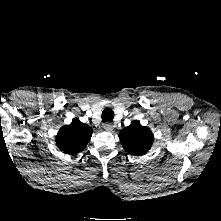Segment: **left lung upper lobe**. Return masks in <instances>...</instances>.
Masks as SVG:
<instances>
[{"mask_svg": "<svg viewBox=\"0 0 221 221\" xmlns=\"http://www.w3.org/2000/svg\"><path fill=\"white\" fill-rule=\"evenodd\" d=\"M123 148L133 155H143L151 148L154 136L151 130L141 126L140 122L133 121L119 134Z\"/></svg>", "mask_w": 221, "mask_h": 221, "instance_id": "5c2ea615", "label": "left lung upper lobe"}]
</instances>
